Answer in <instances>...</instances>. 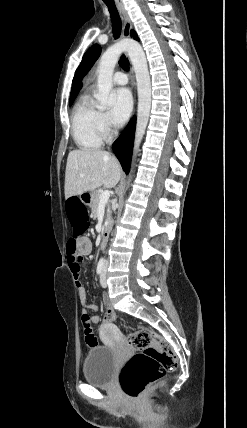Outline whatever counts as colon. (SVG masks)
Instances as JSON below:
<instances>
[{"mask_svg": "<svg viewBox=\"0 0 247 428\" xmlns=\"http://www.w3.org/2000/svg\"><path fill=\"white\" fill-rule=\"evenodd\" d=\"M64 207L66 208L65 228L69 232H74V237L67 243V251L70 254H76L77 239H83L85 232L91 231L92 218L87 217L88 209L85 208L80 194H69L64 200ZM103 315L102 322L105 325H113L118 317L116 312L109 309H106ZM82 324L86 344L95 346L97 338L93 333L90 320L83 317ZM128 344L139 351L124 364L119 382L125 395L136 398L146 385L175 369L178 361L171 345L146 328H138L132 332L128 337Z\"/></svg>", "mask_w": 247, "mask_h": 428, "instance_id": "1", "label": "colon"}]
</instances>
